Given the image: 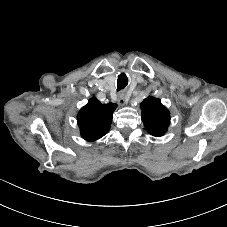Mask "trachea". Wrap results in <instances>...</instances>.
I'll return each mask as SVG.
<instances>
[{
  "label": "trachea",
  "mask_w": 227,
  "mask_h": 227,
  "mask_svg": "<svg viewBox=\"0 0 227 227\" xmlns=\"http://www.w3.org/2000/svg\"><path fill=\"white\" fill-rule=\"evenodd\" d=\"M126 85L127 81L125 80V74L119 75L117 80V91L122 90L123 88H125Z\"/></svg>",
  "instance_id": "3493384b"
}]
</instances>
